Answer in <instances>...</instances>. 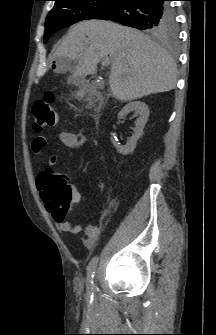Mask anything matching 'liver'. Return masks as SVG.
<instances>
[{
  "label": "liver",
  "mask_w": 216,
  "mask_h": 335,
  "mask_svg": "<svg viewBox=\"0 0 216 335\" xmlns=\"http://www.w3.org/2000/svg\"><path fill=\"white\" fill-rule=\"evenodd\" d=\"M108 55L110 90L122 102L170 91L176 86V64L165 49L140 31L110 21L75 24L53 59L76 61L68 81L79 85L87 75L96 73L98 63Z\"/></svg>",
  "instance_id": "liver-1"
}]
</instances>
